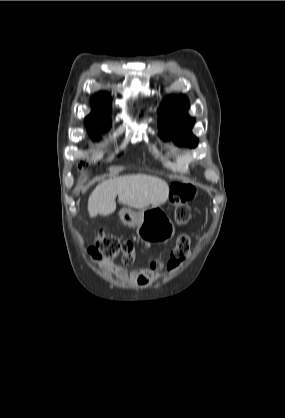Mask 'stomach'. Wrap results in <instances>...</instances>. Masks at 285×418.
I'll return each instance as SVG.
<instances>
[{
  "label": "stomach",
  "mask_w": 285,
  "mask_h": 418,
  "mask_svg": "<svg viewBox=\"0 0 285 418\" xmlns=\"http://www.w3.org/2000/svg\"><path fill=\"white\" fill-rule=\"evenodd\" d=\"M119 216L123 224L137 227L138 237L146 243L166 241L175 233L170 219L159 207H149L140 213L123 208Z\"/></svg>",
  "instance_id": "1"
}]
</instances>
